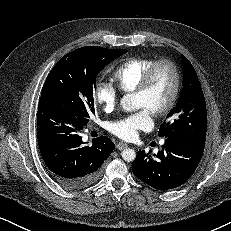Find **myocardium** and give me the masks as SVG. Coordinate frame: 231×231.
Listing matches in <instances>:
<instances>
[{
  "mask_svg": "<svg viewBox=\"0 0 231 231\" xmlns=\"http://www.w3.org/2000/svg\"><path fill=\"white\" fill-rule=\"evenodd\" d=\"M163 65L169 67L170 70L172 71L173 87H172L170 97H169L168 101L165 103V105H163L160 108L151 110L152 114L156 117H164V116L168 115L173 110V108L175 107V105L178 101L180 91H181L182 78H181L180 69L177 66V64L175 62H173L172 60L166 59V58L155 61L147 69V71L145 72L144 76L142 77L138 87L134 91V93L137 95L146 94L150 88L152 81H153L155 72L157 71V69L160 66H163Z\"/></svg>",
  "mask_w": 231,
  "mask_h": 231,
  "instance_id": "obj_1",
  "label": "myocardium"
}]
</instances>
